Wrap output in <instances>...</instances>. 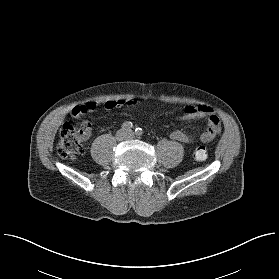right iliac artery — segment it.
<instances>
[{
    "label": "right iliac artery",
    "instance_id": "82829eb1",
    "mask_svg": "<svg viewBox=\"0 0 279 279\" xmlns=\"http://www.w3.org/2000/svg\"><path fill=\"white\" fill-rule=\"evenodd\" d=\"M132 127H133V124L130 121H126L122 124V129L125 131H131Z\"/></svg>",
    "mask_w": 279,
    "mask_h": 279
}]
</instances>
